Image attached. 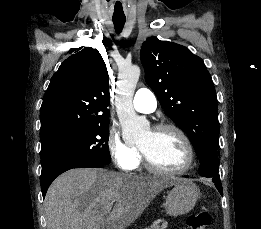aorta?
<instances>
[{
	"label": "aorta",
	"instance_id": "obj_1",
	"mask_svg": "<svg viewBox=\"0 0 261 229\" xmlns=\"http://www.w3.org/2000/svg\"><path fill=\"white\" fill-rule=\"evenodd\" d=\"M140 66H121L117 80V94L115 96V106L117 117L123 129V133H129L134 139H143L149 133V123L146 117H138L133 108V94L135 86L139 80Z\"/></svg>",
	"mask_w": 261,
	"mask_h": 229
}]
</instances>
